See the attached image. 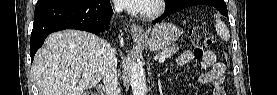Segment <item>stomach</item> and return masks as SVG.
Returning <instances> with one entry per match:
<instances>
[{"label":"stomach","mask_w":277,"mask_h":95,"mask_svg":"<svg viewBox=\"0 0 277 95\" xmlns=\"http://www.w3.org/2000/svg\"><path fill=\"white\" fill-rule=\"evenodd\" d=\"M181 35L180 29L171 23H160L150 28L144 38L138 40L144 48L150 51H160L170 47Z\"/></svg>","instance_id":"0dacf381"}]
</instances>
